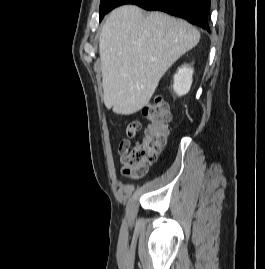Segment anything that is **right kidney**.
<instances>
[{
  "instance_id": "ca27d5eb",
  "label": "right kidney",
  "mask_w": 265,
  "mask_h": 269,
  "mask_svg": "<svg viewBox=\"0 0 265 269\" xmlns=\"http://www.w3.org/2000/svg\"><path fill=\"white\" fill-rule=\"evenodd\" d=\"M193 68L184 65L174 75L173 90L178 96L189 92L192 85Z\"/></svg>"
}]
</instances>
